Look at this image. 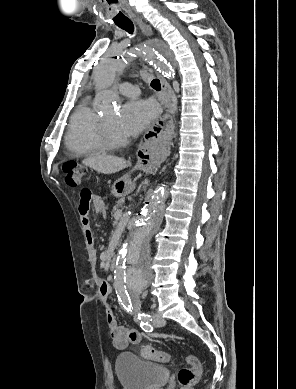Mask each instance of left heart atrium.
Wrapping results in <instances>:
<instances>
[{
  "label": "left heart atrium",
  "instance_id": "39dd6f15",
  "mask_svg": "<svg viewBox=\"0 0 296 389\" xmlns=\"http://www.w3.org/2000/svg\"><path fill=\"white\" fill-rule=\"evenodd\" d=\"M158 109L151 101L131 100L126 103L117 120V128L122 135H137L157 117Z\"/></svg>",
  "mask_w": 296,
  "mask_h": 389
}]
</instances>
